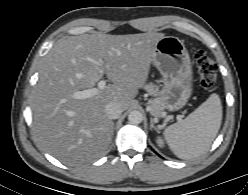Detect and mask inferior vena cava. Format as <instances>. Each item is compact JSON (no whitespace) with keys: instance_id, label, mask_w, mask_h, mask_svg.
<instances>
[{"instance_id":"1","label":"inferior vena cava","mask_w":248,"mask_h":195,"mask_svg":"<svg viewBox=\"0 0 248 195\" xmlns=\"http://www.w3.org/2000/svg\"><path fill=\"white\" fill-rule=\"evenodd\" d=\"M123 112L121 105L117 102H110L105 106V113L109 119H117Z\"/></svg>"}]
</instances>
